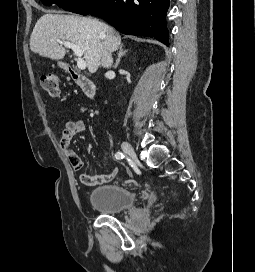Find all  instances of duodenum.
Here are the masks:
<instances>
[{"label": "duodenum", "mask_w": 255, "mask_h": 272, "mask_svg": "<svg viewBox=\"0 0 255 272\" xmlns=\"http://www.w3.org/2000/svg\"><path fill=\"white\" fill-rule=\"evenodd\" d=\"M65 69L68 75L74 81V83L80 87L81 91L86 97L94 98L96 96L97 88L95 83L91 79L79 73L76 68L70 65H66Z\"/></svg>", "instance_id": "410a0bca"}]
</instances>
